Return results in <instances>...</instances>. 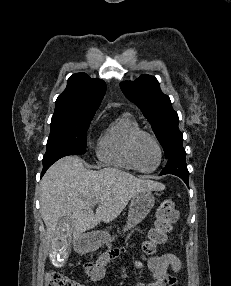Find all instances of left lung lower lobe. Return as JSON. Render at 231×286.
<instances>
[{"label":"left lung lower lobe","mask_w":231,"mask_h":286,"mask_svg":"<svg viewBox=\"0 0 231 286\" xmlns=\"http://www.w3.org/2000/svg\"><path fill=\"white\" fill-rule=\"evenodd\" d=\"M186 153L184 148L180 149L174 153L167 162L166 167L160 173L164 174H173L180 177L188 186L189 173L186 166Z\"/></svg>","instance_id":"left-lung-lower-lobe-1"}]
</instances>
